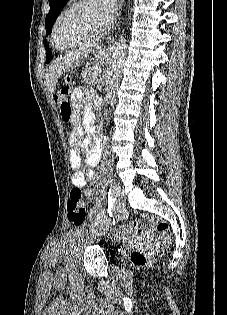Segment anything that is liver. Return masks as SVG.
Returning <instances> with one entry per match:
<instances>
[{"label":"liver","instance_id":"6515ba94","mask_svg":"<svg viewBox=\"0 0 227 315\" xmlns=\"http://www.w3.org/2000/svg\"><path fill=\"white\" fill-rule=\"evenodd\" d=\"M83 52L72 51L64 56H60L49 65V70L45 75L46 84L51 93L56 92V85L58 79L63 73L70 71L71 69L80 65Z\"/></svg>","mask_w":227,"mask_h":315}]
</instances>
